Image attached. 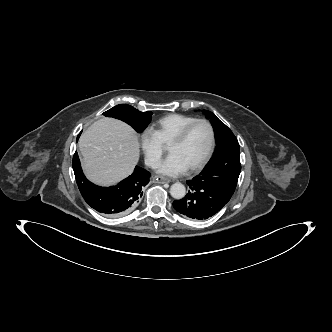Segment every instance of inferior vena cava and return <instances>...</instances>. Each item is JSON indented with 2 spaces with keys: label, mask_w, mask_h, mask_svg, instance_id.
Segmentation results:
<instances>
[{
  "label": "inferior vena cava",
  "mask_w": 332,
  "mask_h": 332,
  "mask_svg": "<svg viewBox=\"0 0 332 332\" xmlns=\"http://www.w3.org/2000/svg\"><path fill=\"white\" fill-rule=\"evenodd\" d=\"M148 164L152 167V168H157L159 166V161L156 159H150L148 161Z\"/></svg>",
  "instance_id": "inferior-vena-cava-1"
}]
</instances>
